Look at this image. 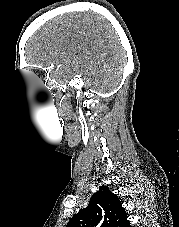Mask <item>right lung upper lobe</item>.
Segmentation results:
<instances>
[{
  "instance_id": "right-lung-upper-lobe-1",
  "label": "right lung upper lobe",
  "mask_w": 179,
  "mask_h": 227,
  "mask_svg": "<svg viewBox=\"0 0 179 227\" xmlns=\"http://www.w3.org/2000/svg\"><path fill=\"white\" fill-rule=\"evenodd\" d=\"M66 227H131L117 195L100 186L85 209H80Z\"/></svg>"
}]
</instances>
